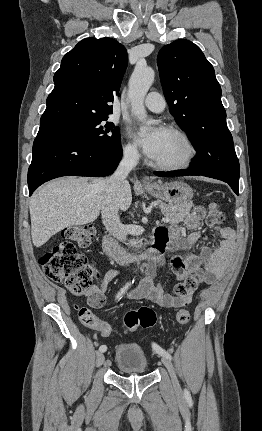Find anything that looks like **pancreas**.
Returning <instances> with one entry per match:
<instances>
[{
    "mask_svg": "<svg viewBox=\"0 0 262 431\" xmlns=\"http://www.w3.org/2000/svg\"><path fill=\"white\" fill-rule=\"evenodd\" d=\"M159 208L161 209L162 214L169 219L170 224L179 223L184 220L191 209L190 204L186 205H167L161 201H158ZM139 242L130 241V246H136Z\"/></svg>",
    "mask_w": 262,
    "mask_h": 431,
    "instance_id": "obj_1",
    "label": "pancreas"
}]
</instances>
